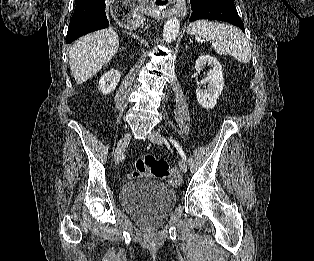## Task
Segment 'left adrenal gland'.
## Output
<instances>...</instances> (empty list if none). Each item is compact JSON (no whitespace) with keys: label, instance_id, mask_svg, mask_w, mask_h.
<instances>
[{"label":"left adrenal gland","instance_id":"1","mask_svg":"<svg viewBox=\"0 0 314 261\" xmlns=\"http://www.w3.org/2000/svg\"><path fill=\"white\" fill-rule=\"evenodd\" d=\"M188 48H189V47H188V45L186 44V45H185V50L187 51V50H188Z\"/></svg>","mask_w":314,"mask_h":261}]
</instances>
